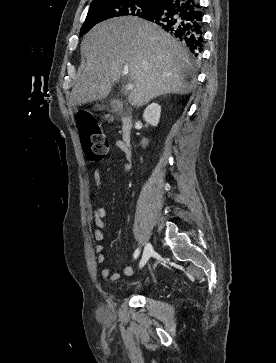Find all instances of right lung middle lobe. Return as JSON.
<instances>
[{"mask_svg":"<svg viewBox=\"0 0 276 363\" xmlns=\"http://www.w3.org/2000/svg\"><path fill=\"white\" fill-rule=\"evenodd\" d=\"M156 8V5L140 0L93 1L82 25L80 36L104 20L119 16H137L145 19L150 17Z\"/></svg>","mask_w":276,"mask_h":363,"instance_id":"right-lung-middle-lobe-1","label":"right lung middle lobe"}]
</instances>
